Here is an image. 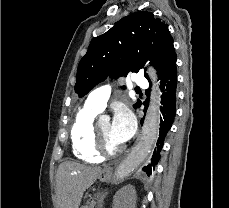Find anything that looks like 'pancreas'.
I'll list each match as a JSON object with an SVG mask.
<instances>
[{
	"label": "pancreas",
	"mask_w": 229,
	"mask_h": 208,
	"mask_svg": "<svg viewBox=\"0 0 229 208\" xmlns=\"http://www.w3.org/2000/svg\"><path fill=\"white\" fill-rule=\"evenodd\" d=\"M89 204V202H88ZM96 202H91L90 206H81V208H94Z\"/></svg>",
	"instance_id": "pancreas-1"
}]
</instances>
